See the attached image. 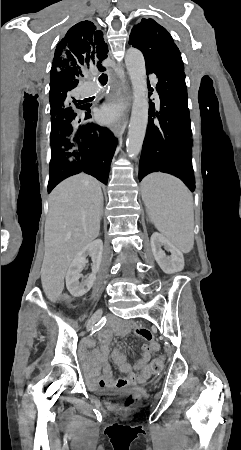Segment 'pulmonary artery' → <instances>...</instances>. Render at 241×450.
<instances>
[{"label":"pulmonary artery","mask_w":241,"mask_h":450,"mask_svg":"<svg viewBox=\"0 0 241 450\" xmlns=\"http://www.w3.org/2000/svg\"><path fill=\"white\" fill-rule=\"evenodd\" d=\"M147 78H148L149 80H154V79L156 78V73H155L154 71H149V72L147 73ZM92 84H93V85H96V84H97V81H96V80H93V81H92Z\"/></svg>","instance_id":"e3ab8cb5"}]
</instances>
